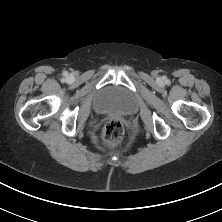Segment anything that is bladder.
Segmentation results:
<instances>
[{"label":"bladder","instance_id":"obj_1","mask_svg":"<svg viewBox=\"0 0 222 222\" xmlns=\"http://www.w3.org/2000/svg\"><path fill=\"white\" fill-rule=\"evenodd\" d=\"M93 108L96 113L101 115L129 116L136 112L138 103L133 93L128 89L121 86H107L94 96Z\"/></svg>","mask_w":222,"mask_h":222}]
</instances>
